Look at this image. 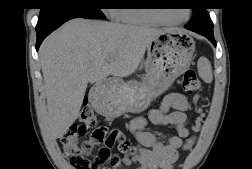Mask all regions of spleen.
<instances>
[{"mask_svg": "<svg viewBox=\"0 0 252 169\" xmlns=\"http://www.w3.org/2000/svg\"><path fill=\"white\" fill-rule=\"evenodd\" d=\"M198 73L202 80L206 83H211L213 80L212 68L210 62L201 57L197 63Z\"/></svg>", "mask_w": 252, "mask_h": 169, "instance_id": "3e777b00", "label": "spleen"}]
</instances>
